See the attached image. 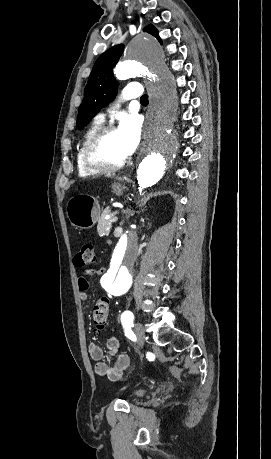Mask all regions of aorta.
I'll list each match as a JSON object with an SVG mask.
<instances>
[{
  "label": "aorta",
  "instance_id": "aorta-1",
  "mask_svg": "<svg viewBox=\"0 0 271 459\" xmlns=\"http://www.w3.org/2000/svg\"><path fill=\"white\" fill-rule=\"evenodd\" d=\"M127 58L114 69L119 80L144 75L150 84V112L144 142L140 150L137 181L142 190L160 181L171 168L178 143L173 123L176 119L175 79L166 66L159 44L149 36H138L127 48ZM138 256V234L127 228L120 237L101 277V285L110 294L120 296L132 285V267Z\"/></svg>",
  "mask_w": 271,
  "mask_h": 459
}]
</instances>
